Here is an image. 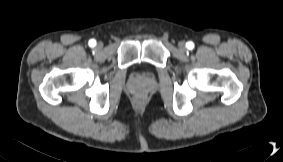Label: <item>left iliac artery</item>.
Segmentation results:
<instances>
[{
  "mask_svg": "<svg viewBox=\"0 0 283 162\" xmlns=\"http://www.w3.org/2000/svg\"><path fill=\"white\" fill-rule=\"evenodd\" d=\"M186 47L191 50V49L194 48V43L189 41V42L186 43Z\"/></svg>",
  "mask_w": 283,
  "mask_h": 162,
  "instance_id": "obj_1",
  "label": "left iliac artery"
}]
</instances>
